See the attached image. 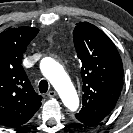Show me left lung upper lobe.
<instances>
[{
    "instance_id": "5c2ea615",
    "label": "left lung upper lobe",
    "mask_w": 133,
    "mask_h": 133,
    "mask_svg": "<svg viewBox=\"0 0 133 133\" xmlns=\"http://www.w3.org/2000/svg\"><path fill=\"white\" fill-rule=\"evenodd\" d=\"M82 62L83 107L80 114L103 120L114 109L123 85V65L111 39L96 26L83 22L73 31Z\"/></svg>"
}]
</instances>
